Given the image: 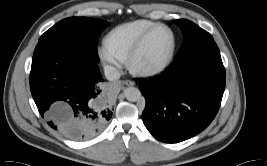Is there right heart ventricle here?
<instances>
[{
  "label": "right heart ventricle",
  "mask_w": 267,
  "mask_h": 166,
  "mask_svg": "<svg viewBox=\"0 0 267 166\" xmlns=\"http://www.w3.org/2000/svg\"><path fill=\"white\" fill-rule=\"evenodd\" d=\"M156 24L150 20L140 19L119 25L110 31L107 43L120 59L125 61L142 35Z\"/></svg>",
  "instance_id": "obj_1"
}]
</instances>
